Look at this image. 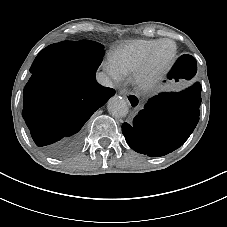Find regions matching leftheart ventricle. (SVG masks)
Returning a JSON list of instances; mask_svg holds the SVG:
<instances>
[{
    "label": "left heart ventricle",
    "mask_w": 227,
    "mask_h": 227,
    "mask_svg": "<svg viewBox=\"0 0 227 227\" xmlns=\"http://www.w3.org/2000/svg\"><path fill=\"white\" fill-rule=\"evenodd\" d=\"M173 51H174V47L172 44L170 43L164 44L159 51V55H158L159 64H162L163 62H165L171 56Z\"/></svg>",
    "instance_id": "b2bd125f"
}]
</instances>
